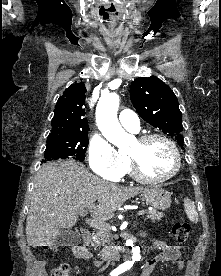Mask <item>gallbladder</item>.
<instances>
[{
  "mask_svg": "<svg viewBox=\"0 0 221 276\" xmlns=\"http://www.w3.org/2000/svg\"><path fill=\"white\" fill-rule=\"evenodd\" d=\"M79 235L76 232L60 229L54 242L56 246H71L78 242Z\"/></svg>",
  "mask_w": 221,
  "mask_h": 276,
  "instance_id": "1",
  "label": "gallbladder"
}]
</instances>
